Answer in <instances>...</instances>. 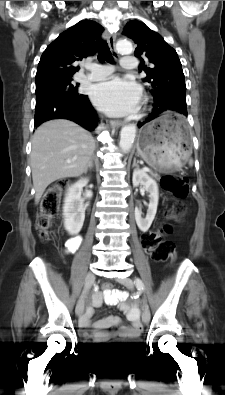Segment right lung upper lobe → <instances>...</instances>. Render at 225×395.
<instances>
[{
	"instance_id": "1",
	"label": "right lung upper lobe",
	"mask_w": 225,
	"mask_h": 395,
	"mask_svg": "<svg viewBox=\"0 0 225 395\" xmlns=\"http://www.w3.org/2000/svg\"><path fill=\"white\" fill-rule=\"evenodd\" d=\"M94 21H80L61 33L43 52L36 73V86L72 79L76 63L96 53L95 37L102 33Z\"/></svg>"
}]
</instances>
